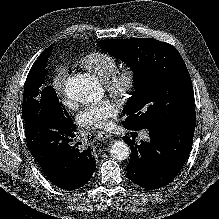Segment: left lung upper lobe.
Returning <instances> with one entry per match:
<instances>
[{
	"label": "left lung upper lobe",
	"instance_id": "left-lung-upper-lobe-1",
	"mask_svg": "<svg viewBox=\"0 0 219 219\" xmlns=\"http://www.w3.org/2000/svg\"><path fill=\"white\" fill-rule=\"evenodd\" d=\"M98 46L127 62L135 92L124 123L135 130H163L196 121L194 91L187 67L170 44L153 38L101 40Z\"/></svg>",
	"mask_w": 219,
	"mask_h": 219
}]
</instances>
